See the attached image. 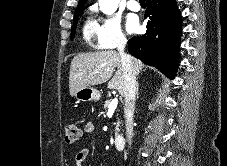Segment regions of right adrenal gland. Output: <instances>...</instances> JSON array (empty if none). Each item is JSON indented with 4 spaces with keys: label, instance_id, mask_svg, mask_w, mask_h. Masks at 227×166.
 Wrapping results in <instances>:
<instances>
[{
    "label": "right adrenal gland",
    "instance_id": "1",
    "mask_svg": "<svg viewBox=\"0 0 227 166\" xmlns=\"http://www.w3.org/2000/svg\"><path fill=\"white\" fill-rule=\"evenodd\" d=\"M136 95H137V99H138V97H139V94H138V83L136 85Z\"/></svg>",
    "mask_w": 227,
    "mask_h": 166
}]
</instances>
